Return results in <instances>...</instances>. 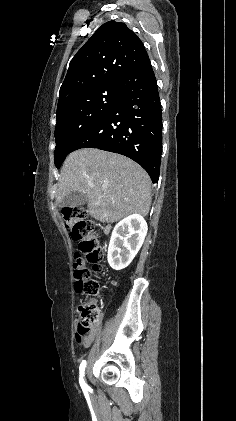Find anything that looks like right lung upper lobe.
Here are the masks:
<instances>
[{
    "label": "right lung upper lobe",
    "instance_id": "cb5924a9",
    "mask_svg": "<svg viewBox=\"0 0 236 421\" xmlns=\"http://www.w3.org/2000/svg\"><path fill=\"white\" fill-rule=\"evenodd\" d=\"M149 62L138 36L124 23H104L70 62L58 106L80 94L118 86L129 73Z\"/></svg>",
    "mask_w": 236,
    "mask_h": 421
}]
</instances>
